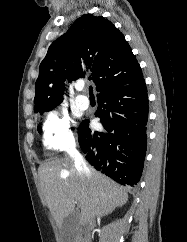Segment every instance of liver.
Listing matches in <instances>:
<instances>
[{
	"mask_svg": "<svg viewBox=\"0 0 187 242\" xmlns=\"http://www.w3.org/2000/svg\"><path fill=\"white\" fill-rule=\"evenodd\" d=\"M91 178L81 176L70 158L52 159L41 164L38 169L40 186L59 228L66 217L73 213L78 202L81 213L79 220L87 225L96 216L111 213L116 207L124 205L128 194L105 175L89 168Z\"/></svg>",
	"mask_w": 187,
	"mask_h": 242,
	"instance_id": "obj_1",
	"label": "liver"
}]
</instances>
